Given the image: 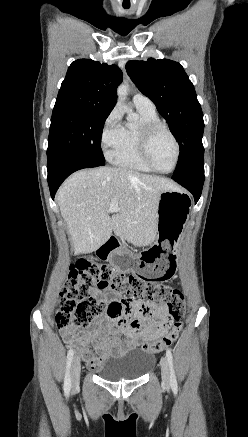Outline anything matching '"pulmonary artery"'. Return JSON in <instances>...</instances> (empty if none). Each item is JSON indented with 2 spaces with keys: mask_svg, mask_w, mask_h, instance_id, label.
Wrapping results in <instances>:
<instances>
[{
  "mask_svg": "<svg viewBox=\"0 0 248 437\" xmlns=\"http://www.w3.org/2000/svg\"><path fill=\"white\" fill-rule=\"evenodd\" d=\"M133 104L136 108L155 110L154 103L148 97L140 93L134 95Z\"/></svg>",
  "mask_w": 248,
  "mask_h": 437,
  "instance_id": "1",
  "label": "pulmonary artery"
}]
</instances>
